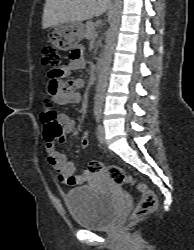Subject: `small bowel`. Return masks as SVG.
Listing matches in <instances>:
<instances>
[{"mask_svg": "<svg viewBox=\"0 0 194 250\" xmlns=\"http://www.w3.org/2000/svg\"><path fill=\"white\" fill-rule=\"evenodd\" d=\"M84 59L80 56L78 59L70 58V62L60 68L62 75L71 71L82 69L84 67ZM85 83L82 79H71L63 81L60 76L50 75L47 83V91L49 98L47 104L67 105L80 101L79 90L84 87ZM42 122L44 124V151L49 164L57 172L59 179L68 186H77L87 181L91 174L88 170L82 171L75 175V166L72 160L68 159L65 154L55 147V141L69 134L75 127V120L68 113H58L51 108L46 109L42 113ZM88 140L86 135H83Z\"/></svg>", "mask_w": 194, "mask_h": 250, "instance_id": "c3829d8e", "label": "small bowel"}]
</instances>
